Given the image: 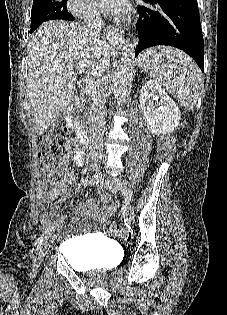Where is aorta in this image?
Masks as SVG:
<instances>
[{"mask_svg":"<svg viewBox=\"0 0 227 315\" xmlns=\"http://www.w3.org/2000/svg\"><path fill=\"white\" fill-rule=\"evenodd\" d=\"M109 43L114 51L122 50V55L118 64L117 73L113 83L115 100L119 105L125 95L126 90L131 82L135 67V48L136 43H128L123 49V41L118 33L109 34Z\"/></svg>","mask_w":227,"mask_h":315,"instance_id":"aorta-1","label":"aorta"}]
</instances>
